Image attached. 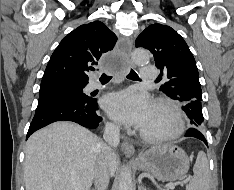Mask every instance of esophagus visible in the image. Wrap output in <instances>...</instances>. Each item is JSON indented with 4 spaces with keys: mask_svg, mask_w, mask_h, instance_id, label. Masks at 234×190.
Returning <instances> with one entry per match:
<instances>
[{
    "mask_svg": "<svg viewBox=\"0 0 234 190\" xmlns=\"http://www.w3.org/2000/svg\"><path fill=\"white\" fill-rule=\"evenodd\" d=\"M122 54L126 59L127 63H130V54L132 49V42L128 38H123L120 43ZM123 153L128 157H133L135 148L129 141H123L121 144Z\"/></svg>",
    "mask_w": 234,
    "mask_h": 190,
    "instance_id": "obj_1",
    "label": "esophagus"
}]
</instances>
